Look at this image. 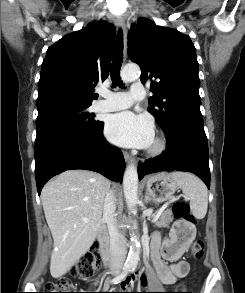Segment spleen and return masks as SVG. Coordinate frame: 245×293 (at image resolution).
<instances>
[{
    "label": "spleen",
    "instance_id": "spleen-1",
    "mask_svg": "<svg viewBox=\"0 0 245 293\" xmlns=\"http://www.w3.org/2000/svg\"><path fill=\"white\" fill-rule=\"evenodd\" d=\"M169 177L174 184L181 188L185 197L190 200V209L193 216L203 219L207 213L208 192L205 184L188 172H172Z\"/></svg>",
    "mask_w": 245,
    "mask_h": 293
}]
</instances>
